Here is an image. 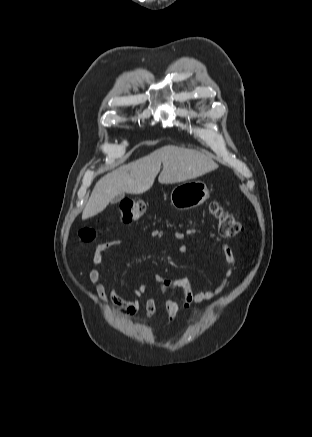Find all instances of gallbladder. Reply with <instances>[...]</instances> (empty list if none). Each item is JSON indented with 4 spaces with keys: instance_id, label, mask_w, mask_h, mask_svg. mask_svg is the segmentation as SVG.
Wrapping results in <instances>:
<instances>
[{
    "instance_id": "gallbladder-1",
    "label": "gallbladder",
    "mask_w": 312,
    "mask_h": 437,
    "mask_svg": "<svg viewBox=\"0 0 312 437\" xmlns=\"http://www.w3.org/2000/svg\"><path fill=\"white\" fill-rule=\"evenodd\" d=\"M123 198H124V194H119L113 199V201L120 202Z\"/></svg>"
}]
</instances>
